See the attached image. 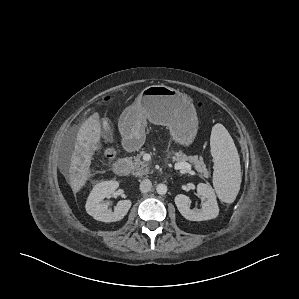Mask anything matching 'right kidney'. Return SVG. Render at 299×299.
<instances>
[{"label":"right kidney","instance_id":"right-kidney-1","mask_svg":"<svg viewBox=\"0 0 299 299\" xmlns=\"http://www.w3.org/2000/svg\"><path fill=\"white\" fill-rule=\"evenodd\" d=\"M118 187L119 183L112 180L96 184L86 202L87 213L95 220L102 222H116L123 219L132 205L130 200H120L114 211L109 210L108 204L104 203V199L111 198Z\"/></svg>","mask_w":299,"mask_h":299}]
</instances>
